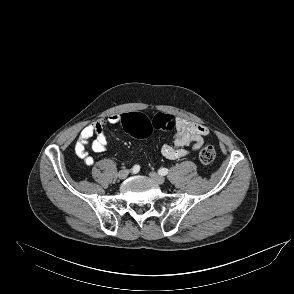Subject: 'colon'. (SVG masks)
I'll return each instance as SVG.
<instances>
[{"label": "colon", "mask_w": 294, "mask_h": 294, "mask_svg": "<svg viewBox=\"0 0 294 294\" xmlns=\"http://www.w3.org/2000/svg\"><path fill=\"white\" fill-rule=\"evenodd\" d=\"M122 126L130 135L143 139L148 137L153 130L167 131L175 127V119L168 114H157L152 120L141 113H128L122 116ZM216 157L215 148L204 145L199 152V160L203 164H210Z\"/></svg>", "instance_id": "1"}]
</instances>
